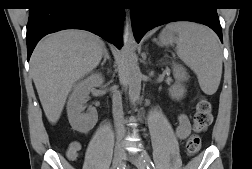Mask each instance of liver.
Here are the masks:
<instances>
[{"mask_svg": "<svg viewBox=\"0 0 252 169\" xmlns=\"http://www.w3.org/2000/svg\"><path fill=\"white\" fill-rule=\"evenodd\" d=\"M105 44L83 30H63L44 37L31 56L33 81L48 121L55 124L74 84L100 63Z\"/></svg>", "mask_w": 252, "mask_h": 169, "instance_id": "1", "label": "liver"}]
</instances>
